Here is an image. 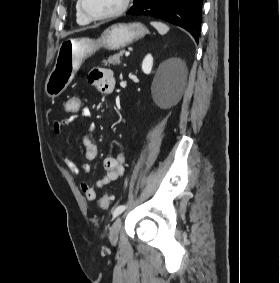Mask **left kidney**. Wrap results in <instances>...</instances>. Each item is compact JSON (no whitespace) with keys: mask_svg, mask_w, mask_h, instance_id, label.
<instances>
[{"mask_svg":"<svg viewBox=\"0 0 280 283\" xmlns=\"http://www.w3.org/2000/svg\"><path fill=\"white\" fill-rule=\"evenodd\" d=\"M177 62L180 63V61ZM152 67H153V57L151 54H147L142 62V66H141L142 71L148 75L151 73Z\"/></svg>","mask_w":280,"mask_h":283,"instance_id":"left-kidney-1","label":"left kidney"}]
</instances>
